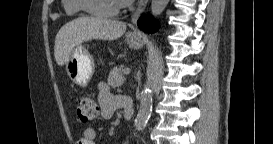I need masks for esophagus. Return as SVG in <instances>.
<instances>
[{
    "mask_svg": "<svg viewBox=\"0 0 273 144\" xmlns=\"http://www.w3.org/2000/svg\"><path fill=\"white\" fill-rule=\"evenodd\" d=\"M147 3H148V0H141L139 2L137 10L132 15L133 24H135L137 22V19H138L139 15L145 10Z\"/></svg>",
    "mask_w": 273,
    "mask_h": 144,
    "instance_id": "1",
    "label": "esophagus"
}]
</instances>
